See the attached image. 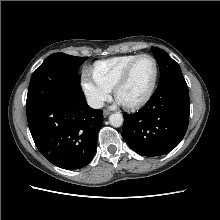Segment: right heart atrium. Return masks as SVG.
<instances>
[{
    "instance_id": "obj_1",
    "label": "right heart atrium",
    "mask_w": 220,
    "mask_h": 220,
    "mask_svg": "<svg viewBox=\"0 0 220 220\" xmlns=\"http://www.w3.org/2000/svg\"><path fill=\"white\" fill-rule=\"evenodd\" d=\"M81 85L88 103L94 108H100L110 97L111 89L87 69L82 73Z\"/></svg>"
}]
</instances>
